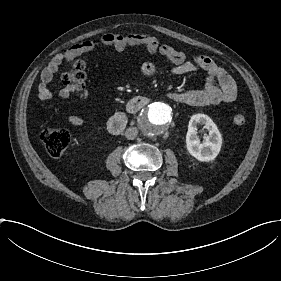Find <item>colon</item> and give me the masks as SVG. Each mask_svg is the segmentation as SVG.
<instances>
[{
    "instance_id": "1",
    "label": "colon",
    "mask_w": 281,
    "mask_h": 281,
    "mask_svg": "<svg viewBox=\"0 0 281 281\" xmlns=\"http://www.w3.org/2000/svg\"><path fill=\"white\" fill-rule=\"evenodd\" d=\"M104 43V39L91 40L82 44L74 53H68L66 55V59L71 64L74 73L67 72L62 75L65 92L68 94L76 93L80 97L87 96L84 60L82 56L94 47ZM246 123L247 117L245 114L235 113L232 116L233 126L241 128L244 127ZM41 138L46 147L47 154L51 158L60 157L71 140L68 129L62 126L45 129Z\"/></svg>"
}]
</instances>
